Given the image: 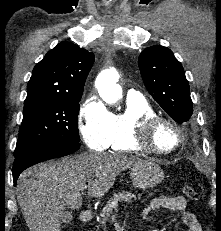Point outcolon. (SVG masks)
I'll use <instances>...</instances> for the list:
<instances>
[{
	"label": "colon",
	"mask_w": 221,
	"mask_h": 231,
	"mask_svg": "<svg viewBox=\"0 0 221 231\" xmlns=\"http://www.w3.org/2000/svg\"><path fill=\"white\" fill-rule=\"evenodd\" d=\"M183 193L191 200H198L199 198L198 192L193 187L188 185L183 187Z\"/></svg>",
	"instance_id": "obj_1"
}]
</instances>
